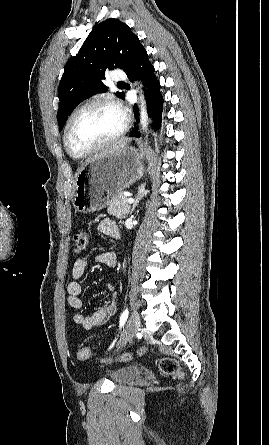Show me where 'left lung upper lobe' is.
Here are the masks:
<instances>
[{
    "label": "left lung upper lobe",
    "mask_w": 269,
    "mask_h": 445,
    "mask_svg": "<svg viewBox=\"0 0 269 445\" xmlns=\"http://www.w3.org/2000/svg\"><path fill=\"white\" fill-rule=\"evenodd\" d=\"M144 51L139 38L120 20L110 18L96 25L64 68L58 88L59 129L79 103L108 90L102 82L107 71L122 68L128 72ZM117 94L125 96L124 92Z\"/></svg>",
    "instance_id": "obj_1"
}]
</instances>
